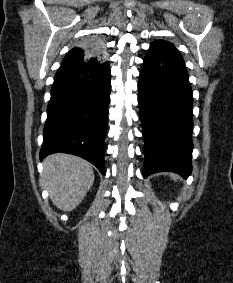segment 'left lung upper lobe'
<instances>
[{
    "label": "left lung upper lobe",
    "mask_w": 233,
    "mask_h": 283,
    "mask_svg": "<svg viewBox=\"0 0 233 283\" xmlns=\"http://www.w3.org/2000/svg\"><path fill=\"white\" fill-rule=\"evenodd\" d=\"M153 43H166V41H163V40H157V41H154Z\"/></svg>",
    "instance_id": "left-lung-upper-lobe-1"
}]
</instances>
